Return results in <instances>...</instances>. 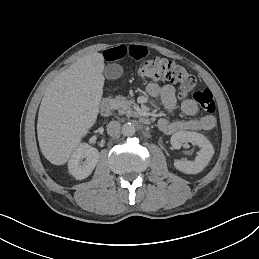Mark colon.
I'll list each match as a JSON object with an SVG mask.
<instances>
[{
    "label": "colon",
    "instance_id": "obj_1",
    "mask_svg": "<svg viewBox=\"0 0 259 259\" xmlns=\"http://www.w3.org/2000/svg\"><path fill=\"white\" fill-rule=\"evenodd\" d=\"M139 75L149 81H167L178 84L182 93L190 92L196 85V79L182 65L165 58H153L143 62ZM194 100L208 113L215 111L216 105L213 94L205 89L193 95Z\"/></svg>",
    "mask_w": 259,
    "mask_h": 259
}]
</instances>
